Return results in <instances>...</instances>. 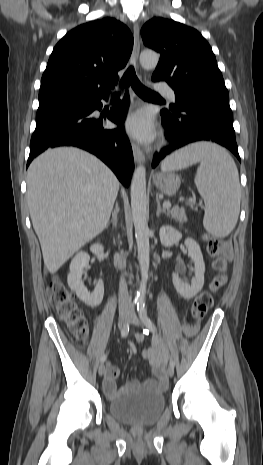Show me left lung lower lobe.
I'll list each match as a JSON object with an SVG mask.
<instances>
[{
	"instance_id": "1",
	"label": "left lung lower lobe",
	"mask_w": 263,
	"mask_h": 465,
	"mask_svg": "<svg viewBox=\"0 0 263 465\" xmlns=\"http://www.w3.org/2000/svg\"><path fill=\"white\" fill-rule=\"evenodd\" d=\"M175 98V109L160 112L162 124L173 146L156 153L152 167H156L159 160L171 151L202 140L226 147L240 160L229 102L207 100L196 103L178 98L177 93Z\"/></svg>"
}]
</instances>
